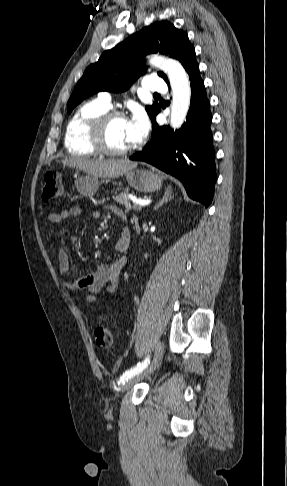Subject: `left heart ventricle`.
<instances>
[{
  "instance_id": "obj_1",
  "label": "left heart ventricle",
  "mask_w": 287,
  "mask_h": 486,
  "mask_svg": "<svg viewBox=\"0 0 287 486\" xmlns=\"http://www.w3.org/2000/svg\"><path fill=\"white\" fill-rule=\"evenodd\" d=\"M106 141L113 149H124L132 146L129 121L127 119L114 120L107 130Z\"/></svg>"
}]
</instances>
